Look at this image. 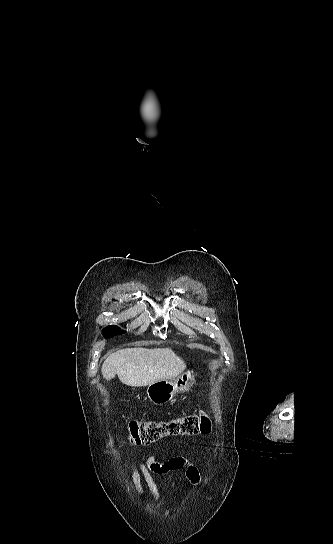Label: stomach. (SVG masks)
Here are the masks:
<instances>
[{
  "mask_svg": "<svg viewBox=\"0 0 333 544\" xmlns=\"http://www.w3.org/2000/svg\"><path fill=\"white\" fill-rule=\"evenodd\" d=\"M196 373L187 370L176 379H165L151 383L147 387V396L155 405H162L172 400L178 392L187 391L195 381Z\"/></svg>",
  "mask_w": 333,
  "mask_h": 544,
  "instance_id": "stomach-1",
  "label": "stomach"
}]
</instances>
